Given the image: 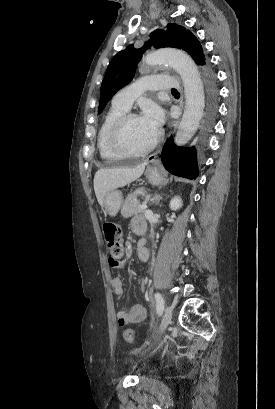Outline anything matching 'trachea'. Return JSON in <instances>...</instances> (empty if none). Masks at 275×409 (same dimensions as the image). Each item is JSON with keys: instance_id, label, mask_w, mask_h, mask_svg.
Segmentation results:
<instances>
[{"instance_id": "3493384b", "label": "trachea", "mask_w": 275, "mask_h": 409, "mask_svg": "<svg viewBox=\"0 0 275 409\" xmlns=\"http://www.w3.org/2000/svg\"><path fill=\"white\" fill-rule=\"evenodd\" d=\"M171 92H177L176 88H172Z\"/></svg>"}]
</instances>
